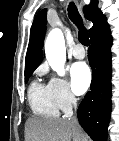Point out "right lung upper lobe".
<instances>
[{
    "instance_id": "cb5924a9",
    "label": "right lung upper lobe",
    "mask_w": 119,
    "mask_h": 141,
    "mask_svg": "<svg viewBox=\"0 0 119 141\" xmlns=\"http://www.w3.org/2000/svg\"><path fill=\"white\" fill-rule=\"evenodd\" d=\"M84 15L88 20L93 22L89 35L105 19L101 10L98 9V0H91V3L84 8ZM46 22V9H44L36 16L31 27L30 41L25 60V73L33 72L42 61Z\"/></svg>"
}]
</instances>
